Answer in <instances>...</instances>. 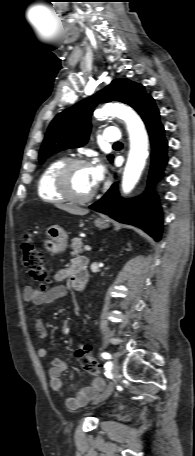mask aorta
Returning <instances> with one entry per match:
<instances>
[{"instance_id": "aorta-1", "label": "aorta", "mask_w": 195, "mask_h": 456, "mask_svg": "<svg viewBox=\"0 0 195 456\" xmlns=\"http://www.w3.org/2000/svg\"><path fill=\"white\" fill-rule=\"evenodd\" d=\"M95 116H116L127 125L130 150L123 173L122 189L124 193H129L138 182L148 156V135L145 126L134 110L120 103L105 104L95 112Z\"/></svg>"}]
</instances>
